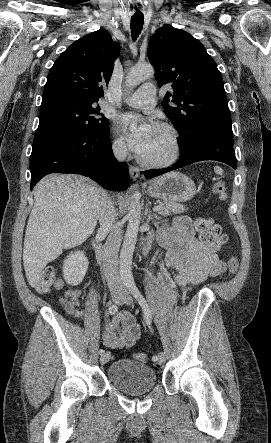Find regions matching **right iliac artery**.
<instances>
[{
	"mask_svg": "<svg viewBox=\"0 0 271 443\" xmlns=\"http://www.w3.org/2000/svg\"><path fill=\"white\" fill-rule=\"evenodd\" d=\"M108 310H109V313L111 315H114L118 311V306L117 305H111ZM104 353H105L104 349H100L99 350V354L100 355H103Z\"/></svg>",
	"mask_w": 271,
	"mask_h": 443,
	"instance_id": "obj_1",
	"label": "right iliac artery"
}]
</instances>
